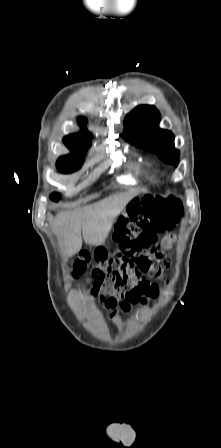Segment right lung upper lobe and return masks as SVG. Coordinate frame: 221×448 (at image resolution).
Returning <instances> with one entry per match:
<instances>
[{
  "instance_id": "1",
  "label": "right lung upper lobe",
  "mask_w": 221,
  "mask_h": 448,
  "mask_svg": "<svg viewBox=\"0 0 221 448\" xmlns=\"http://www.w3.org/2000/svg\"><path fill=\"white\" fill-rule=\"evenodd\" d=\"M80 125H84L87 120L84 117L78 119ZM91 135L84 130L81 133L70 134L64 138L65 145L72 150V154L67 155L74 158L83 159L84 153L91 146Z\"/></svg>"
}]
</instances>
